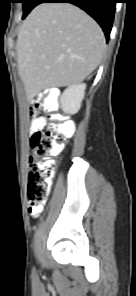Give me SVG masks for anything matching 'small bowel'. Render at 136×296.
<instances>
[{
  "instance_id": "c3829d8e",
  "label": "small bowel",
  "mask_w": 136,
  "mask_h": 296,
  "mask_svg": "<svg viewBox=\"0 0 136 296\" xmlns=\"http://www.w3.org/2000/svg\"><path fill=\"white\" fill-rule=\"evenodd\" d=\"M40 127H41V122H40V121H34V122L32 123V126H31V131H32V132H35V131L39 130ZM41 211H42V209L39 211V213H40ZM39 213L36 214V215H32V216H34V217H35V216H38Z\"/></svg>"
}]
</instances>
